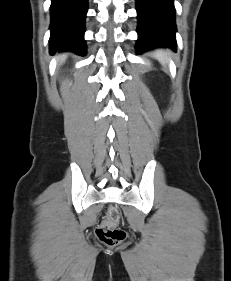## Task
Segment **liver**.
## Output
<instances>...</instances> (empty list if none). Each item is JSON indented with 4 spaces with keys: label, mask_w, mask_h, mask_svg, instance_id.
I'll return each instance as SVG.
<instances>
[{
    "label": "liver",
    "mask_w": 231,
    "mask_h": 281,
    "mask_svg": "<svg viewBox=\"0 0 231 281\" xmlns=\"http://www.w3.org/2000/svg\"><path fill=\"white\" fill-rule=\"evenodd\" d=\"M65 58H66L65 56H62V57L60 58V61H61V62L65 61Z\"/></svg>",
    "instance_id": "liver-1"
}]
</instances>
